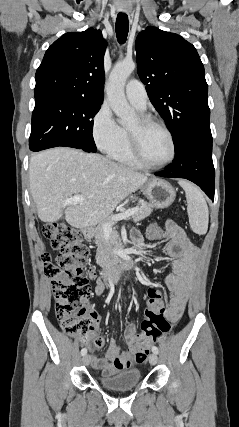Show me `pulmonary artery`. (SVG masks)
<instances>
[{
    "mask_svg": "<svg viewBox=\"0 0 239 427\" xmlns=\"http://www.w3.org/2000/svg\"><path fill=\"white\" fill-rule=\"evenodd\" d=\"M127 100L137 109L145 110L148 103V96L144 85L138 80H131L125 87Z\"/></svg>",
    "mask_w": 239,
    "mask_h": 427,
    "instance_id": "e3ab8cb5",
    "label": "pulmonary artery"
}]
</instances>
